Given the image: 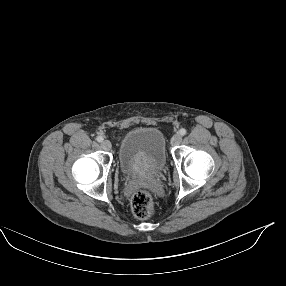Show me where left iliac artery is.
I'll use <instances>...</instances> for the list:
<instances>
[{"label":"left iliac artery","mask_w":286,"mask_h":286,"mask_svg":"<svg viewBox=\"0 0 286 286\" xmlns=\"http://www.w3.org/2000/svg\"><path fill=\"white\" fill-rule=\"evenodd\" d=\"M179 133H180V135L184 136L187 133V131H186V129L182 128V129H180Z\"/></svg>","instance_id":"1"}]
</instances>
